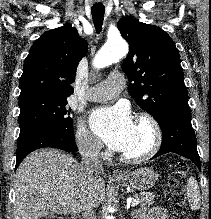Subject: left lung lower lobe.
Instances as JSON below:
<instances>
[{
    "label": "left lung lower lobe",
    "instance_id": "obj_1",
    "mask_svg": "<svg viewBox=\"0 0 211 219\" xmlns=\"http://www.w3.org/2000/svg\"><path fill=\"white\" fill-rule=\"evenodd\" d=\"M158 124L162 130V143L152 159L173 152L190 159L200 169L190 109H172L163 115Z\"/></svg>",
    "mask_w": 211,
    "mask_h": 219
}]
</instances>
